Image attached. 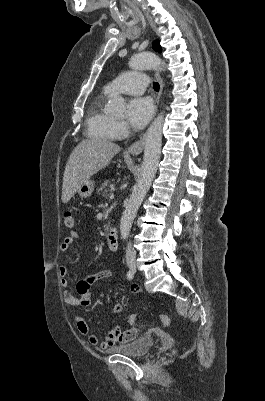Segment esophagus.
<instances>
[{
	"mask_svg": "<svg viewBox=\"0 0 265 401\" xmlns=\"http://www.w3.org/2000/svg\"><path fill=\"white\" fill-rule=\"evenodd\" d=\"M155 78L158 81L159 86H160L159 92H158L157 97L154 102L155 110H157L159 101H160V97L162 94V90H163V81H162L161 75L158 72L155 73ZM145 138H146V133L144 135H142V137L138 141H135L134 143H132V145H130L128 148L129 153H131L132 155H139L143 150Z\"/></svg>",
	"mask_w": 265,
	"mask_h": 401,
	"instance_id": "esophagus-1",
	"label": "esophagus"
}]
</instances>
